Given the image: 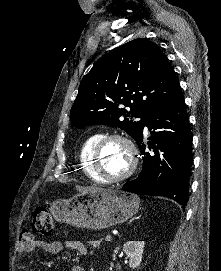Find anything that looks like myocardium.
I'll return each instance as SVG.
<instances>
[{
  "label": "myocardium",
  "mask_w": 221,
  "mask_h": 271,
  "mask_svg": "<svg viewBox=\"0 0 221 271\" xmlns=\"http://www.w3.org/2000/svg\"><path fill=\"white\" fill-rule=\"evenodd\" d=\"M104 133L107 134V137L98 138L97 145L93 147L94 150L91 153V161H93L95 165V172H98V175H101V178H104L103 184L123 183V178L129 177L132 171L137 170V167L140 165L138 162V145H132V142H130L132 139L123 131L112 130ZM109 142H120V150H127L126 153H123V158L126 163L129 164L128 170L115 177L107 176V173L103 171L102 166L99 165V155L103 154L102 150L106 149L105 145H108Z\"/></svg>",
  "instance_id": "1"
}]
</instances>
